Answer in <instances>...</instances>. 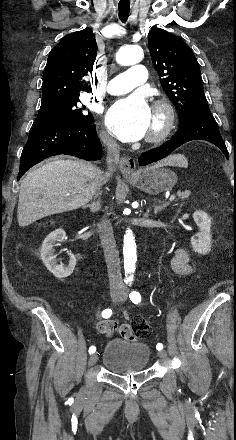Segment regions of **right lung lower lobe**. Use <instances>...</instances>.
Returning <instances> with one entry per match:
<instances>
[{"label": "right lung lower lobe", "mask_w": 236, "mask_h": 440, "mask_svg": "<svg viewBox=\"0 0 236 440\" xmlns=\"http://www.w3.org/2000/svg\"><path fill=\"white\" fill-rule=\"evenodd\" d=\"M93 123L36 118L21 154L18 179L29 168L54 155L66 154L88 161L98 160L101 157V143Z\"/></svg>", "instance_id": "98d812e1"}]
</instances>
